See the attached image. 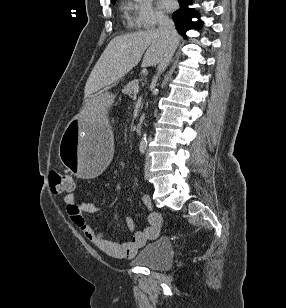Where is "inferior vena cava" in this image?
Wrapping results in <instances>:
<instances>
[{
	"label": "inferior vena cava",
	"instance_id": "1",
	"mask_svg": "<svg viewBox=\"0 0 286 308\" xmlns=\"http://www.w3.org/2000/svg\"><path fill=\"white\" fill-rule=\"evenodd\" d=\"M158 23H159L158 31L166 39L167 46H166L164 55L159 62L158 69H157L158 73L154 77L155 81L158 79L159 75L163 71H165V69L169 65L172 59V56L178 45V39H177L178 33L175 29L174 22L171 19H169L167 16L162 15L159 17Z\"/></svg>",
	"mask_w": 286,
	"mask_h": 308
}]
</instances>
